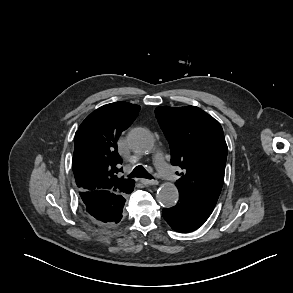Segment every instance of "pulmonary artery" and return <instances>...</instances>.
Returning <instances> with one entry per match:
<instances>
[{"label":"pulmonary artery","mask_w":293,"mask_h":293,"mask_svg":"<svg viewBox=\"0 0 293 293\" xmlns=\"http://www.w3.org/2000/svg\"><path fill=\"white\" fill-rule=\"evenodd\" d=\"M157 170L164 179L172 180L175 176L172 167L165 161L162 153H158L155 158Z\"/></svg>","instance_id":"e3ab8cb5"}]
</instances>
